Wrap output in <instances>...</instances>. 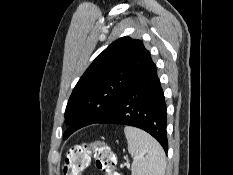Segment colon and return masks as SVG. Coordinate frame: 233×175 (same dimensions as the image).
Here are the masks:
<instances>
[{"mask_svg": "<svg viewBox=\"0 0 233 175\" xmlns=\"http://www.w3.org/2000/svg\"><path fill=\"white\" fill-rule=\"evenodd\" d=\"M91 155L94 156L97 167L105 175H121L116 171V156L104 141L72 146L66 154L62 169L63 175H82L89 164Z\"/></svg>", "mask_w": 233, "mask_h": 175, "instance_id": "5ec220e1", "label": "colon"}]
</instances>
